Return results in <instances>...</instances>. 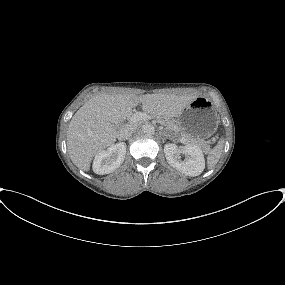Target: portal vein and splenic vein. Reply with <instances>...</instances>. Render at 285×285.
I'll use <instances>...</instances> for the list:
<instances>
[{"instance_id":"18ae733b","label":"portal vein and splenic vein","mask_w":285,"mask_h":285,"mask_svg":"<svg viewBox=\"0 0 285 285\" xmlns=\"http://www.w3.org/2000/svg\"><path fill=\"white\" fill-rule=\"evenodd\" d=\"M148 118V115L146 113H142V112H137L134 113L131 117H130V122L132 123H136L139 122L141 120H145Z\"/></svg>"}]
</instances>
